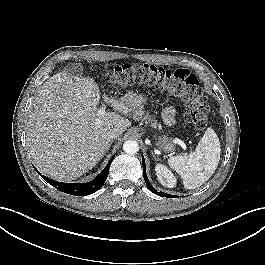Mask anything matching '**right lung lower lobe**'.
Here are the masks:
<instances>
[{"instance_id":"1","label":"right lung lower lobe","mask_w":265,"mask_h":265,"mask_svg":"<svg viewBox=\"0 0 265 265\" xmlns=\"http://www.w3.org/2000/svg\"><path fill=\"white\" fill-rule=\"evenodd\" d=\"M114 156L110 159L104 170L92 181L87 182V183H62V182H57L55 180L49 179L45 176H42L45 181H47L50 185L53 187H56L58 190L75 195V196H86L89 194H92L99 190L105 183L106 178L109 173V168L111 165V162L113 161ZM37 173L41 175V173L35 168Z\"/></svg>"}]
</instances>
